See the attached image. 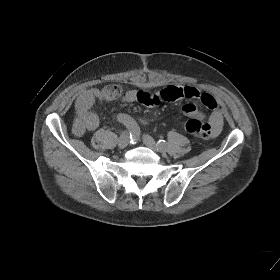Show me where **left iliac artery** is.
I'll use <instances>...</instances> for the list:
<instances>
[{
  "label": "left iliac artery",
  "mask_w": 280,
  "mask_h": 280,
  "mask_svg": "<svg viewBox=\"0 0 280 280\" xmlns=\"http://www.w3.org/2000/svg\"><path fill=\"white\" fill-rule=\"evenodd\" d=\"M157 145H158V147L161 148V149H165V148L167 147V143H166L165 140H159V141L157 142Z\"/></svg>",
  "instance_id": "obj_1"
}]
</instances>
